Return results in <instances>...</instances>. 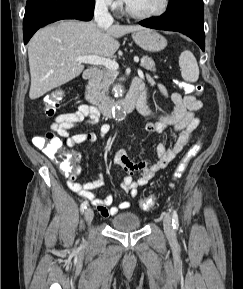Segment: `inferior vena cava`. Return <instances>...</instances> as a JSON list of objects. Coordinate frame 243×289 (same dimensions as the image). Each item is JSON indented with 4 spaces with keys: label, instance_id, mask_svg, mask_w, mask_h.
Instances as JSON below:
<instances>
[{
    "label": "inferior vena cava",
    "instance_id": "1",
    "mask_svg": "<svg viewBox=\"0 0 243 289\" xmlns=\"http://www.w3.org/2000/svg\"><path fill=\"white\" fill-rule=\"evenodd\" d=\"M94 17L100 29H104L112 25L114 20L108 11V0H97Z\"/></svg>",
    "mask_w": 243,
    "mask_h": 289
}]
</instances>
